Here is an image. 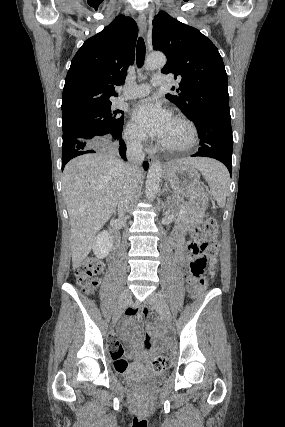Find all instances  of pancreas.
Listing matches in <instances>:
<instances>
[{"label": "pancreas", "instance_id": "obj_1", "mask_svg": "<svg viewBox=\"0 0 285 427\" xmlns=\"http://www.w3.org/2000/svg\"><path fill=\"white\" fill-rule=\"evenodd\" d=\"M188 215V214H192L194 215V219L195 220H201L205 214L203 211H201L199 214H196V207L191 203V201L189 202V205H187L186 207L183 208L182 211V216L184 215Z\"/></svg>", "mask_w": 285, "mask_h": 427}]
</instances>
